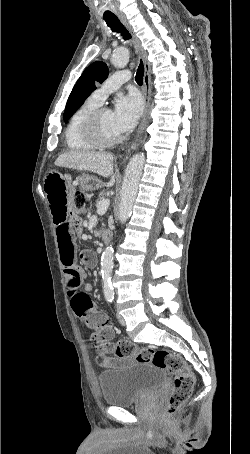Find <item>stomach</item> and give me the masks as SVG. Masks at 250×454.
Segmentation results:
<instances>
[{
    "label": "stomach",
    "mask_w": 250,
    "mask_h": 454,
    "mask_svg": "<svg viewBox=\"0 0 250 454\" xmlns=\"http://www.w3.org/2000/svg\"><path fill=\"white\" fill-rule=\"evenodd\" d=\"M46 176H67V175H62L58 171L52 170ZM83 181L85 184V188H87V189L92 190V189L99 187L98 180L94 177L84 176ZM43 187H44V183H43ZM71 189H72V185H71Z\"/></svg>",
    "instance_id": "stomach-1"
}]
</instances>
